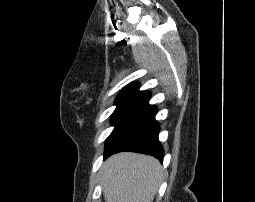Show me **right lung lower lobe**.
Wrapping results in <instances>:
<instances>
[{"mask_svg": "<svg viewBox=\"0 0 255 202\" xmlns=\"http://www.w3.org/2000/svg\"><path fill=\"white\" fill-rule=\"evenodd\" d=\"M156 108L149 106L136 114L114 137L105 150L104 159L121 151L148 154L163 160V148L158 140L159 124L155 120Z\"/></svg>", "mask_w": 255, "mask_h": 202, "instance_id": "right-lung-lower-lobe-1", "label": "right lung lower lobe"}]
</instances>
